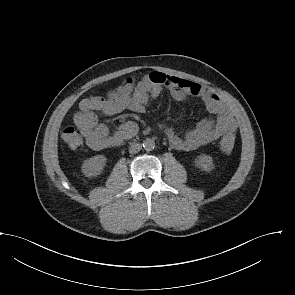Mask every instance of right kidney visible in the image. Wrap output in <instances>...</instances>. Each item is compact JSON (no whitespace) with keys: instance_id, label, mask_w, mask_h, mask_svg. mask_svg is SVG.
Wrapping results in <instances>:
<instances>
[{"instance_id":"obj_1","label":"right kidney","mask_w":295,"mask_h":295,"mask_svg":"<svg viewBox=\"0 0 295 295\" xmlns=\"http://www.w3.org/2000/svg\"><path fill=\"white\" fill-rule=\"evenodd\" d=\"M106 157L103 155H96L86 160L82 165V172L86 177H95L100 175L106 165Z\"/></svg>"}]
</instances>
